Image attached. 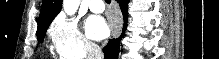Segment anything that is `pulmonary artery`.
<instances>
[{
	"label": "pulmonary artery",
	"mask_w": 219,
	"mask_h": 59,
	"mask_svg": "<svg viewBox=\"0 0 219 59\" xmlns=\"http://www.w3.org/2000/svg\"><path fill=\"white\" fill-rule=\"evenodd\" d=\"M89 8L94 13H101L105 10V6L102 0H90Z\"/></svg>",
	"instance_id": "1"
}]
</instances>
